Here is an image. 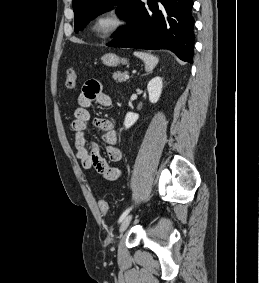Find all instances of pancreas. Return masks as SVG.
<instances>
[{
	"instance_id": "pancreas-1",
	"label": "pancreas",
	"mask_w": 259,
	"mask_h": 283,
	"mask_svg": "<svg viewBox=\"0 0 259 283\" xmlns=\"http://www.w3.org/2000/svg\"><path fill=\"white\" fill-rule=\"evenodd\" d=\"M125 75H126V72H115L113 73V79L120 82V83H123L126 81L125 79Z\"/></svg>"
}]
</instances>
